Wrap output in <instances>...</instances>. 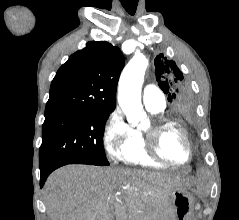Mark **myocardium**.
<instances>
[{
	"instance_id": "1",
	"label": "myocardium",
	"mask_w": 239,
	"mask_h": 220,
	"mask_svg": "<svg viewBox=\"0 0 239 220\" xmlns=\"http://www.w3.org/2000/svg\"><path fill=\"white\" fill-rule=\"evenodd\" d=\"M168 127L176 128L185 141L187 147V158L183 162H174L166 158L160 151V135ZM141 132L144 138L145 149L148 155L154 160L175 167H181L190 162L192 158V144L186 128L179 122L162 115H156L148 120L147 125L141 128Z\"/></svg>"
}]
</instances>
